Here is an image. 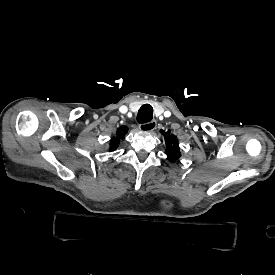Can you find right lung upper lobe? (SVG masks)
<instances>
[{"instance_id": "obj_1", "label": "right lung upper lobe", "mask_w": 275, "mask_h": 275, "mask_svg": "<svg viewBox=\"0 0 275 275\" xmlns=\"http://www.w3.org/2000/svg\"><path fill=\"white\" fill-rule=\"evenodd\" d=\"M128 128L121 126L117 130L116 137H113L110 142V151H114L119 146L120 140L126 135Z\"/></svg>"}]
</instances>
